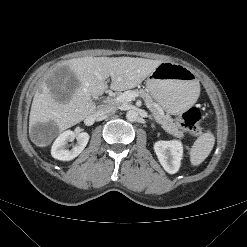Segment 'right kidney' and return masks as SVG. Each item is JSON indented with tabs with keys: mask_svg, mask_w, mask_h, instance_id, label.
Segmentation results:
<instances>
[{
	"mask_svg": "<svg viewBox=\"0 0 247 247\" xmlns=\"http://www.w3.org/2000/svg\"><path fill=\"white\" fill-rule=\"evenodd\" d=\"M77 139L76 144L69 150L67 143ZM89 141V134L86 132L75 133L67 130L61 133L54 141L51 149L52 157L58 160L69 161L77 157L86 147Z\"/></svg>",
	"mask_w": 247,
	"mask_h": 247,
	"instance_id": "right-kidney-1",
	"label": "right kidney"
}]
</instances>
